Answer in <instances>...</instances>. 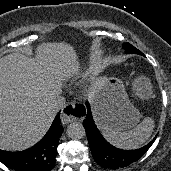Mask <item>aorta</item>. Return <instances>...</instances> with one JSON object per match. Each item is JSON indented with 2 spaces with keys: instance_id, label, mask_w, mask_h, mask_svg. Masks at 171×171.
<instances>
[{
  "instance_id": "aorta-1",
  "label": "aorta",
  "mask_w": 171,
  "mask_h": 171,
  "mask_svg": "<svg viewBox=\"0 0 171 171\" xmlns=\"http://www.w3.org/2000/svg\"><path fill=\"white\" fill-rule=\"evenodd\" d=\"M67 136L74 140L82 139L86 132L81 123L73 122L67 126Z\"/></svg>"
}]
</instances>
